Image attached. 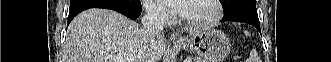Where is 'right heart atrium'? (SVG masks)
<instances>
[{
    "label": "right heart atrium",
    "instance_id": "1",
    "mask_svg": "<svg viewBox=\"0 0 331 62\" xmlns=\"http://www.w3.org/2000/svg\"><path fill=\"white\" fill-rule=\"evenodd\" d=\"M144 6L148 12V15L155 20L165 21L169 18V15L164 7L151 1H144Z\"/></svg>",
    "mask_w": 331,
    "mask_h": 62
}]
</instances>
